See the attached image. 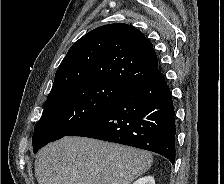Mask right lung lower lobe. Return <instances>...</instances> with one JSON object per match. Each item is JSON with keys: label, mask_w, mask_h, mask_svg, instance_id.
Returning <instances> with one entry per match:
<instances>
[{"label": "right lung lower lobe", "mask_w": 224, "mask_h": 184, "mask_svg": "<svg viewBox=\"0 0 224 184\" xmlns=\"http://www.w3.org/2000/svg\"><path fill=\"white\" fill-rule=\"evenodd\" d=\"M175 113L162 76L131 85L102 113L68 136L149 150L175 162Z\"/></svg>", "instance_id": "1"}]
</instances>
